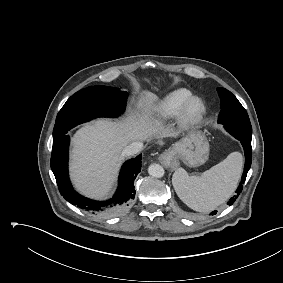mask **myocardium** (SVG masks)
<instances>
[{
	"mask_svg": "<svg viewBox=\"0 0 283 283\" xmlns=\"http://www.w3.org/2000/svg\"><path fill=\"white\" fill-rule=\"evenodd\" d=\"M206 113V103L199 96L191 95L182 105L178 113L179 125L182 129L191 128L201 122Z\"/></svg>",
	"mask_w": 283,
	"mask_h": 283,
	"instance_id": "myocardium-1",
	"label": "myocardium"
}]
</instances>
